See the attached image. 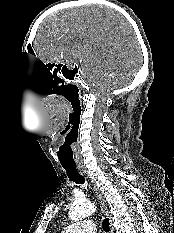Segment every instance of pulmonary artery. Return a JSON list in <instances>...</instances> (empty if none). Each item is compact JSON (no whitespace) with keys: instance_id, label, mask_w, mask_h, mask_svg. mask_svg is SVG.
<instances>
[{"instance_id":"1","label":"pulmonary artery","mask_w":174,"mask_h":233,"mask_svg":"<svg viewBox=\"0 0 174 233\" xmlns=\"http://www.w3.org/2000/svg\"><path fill=\"white\" fill-rule=\"evenodd\" d=\"M63 233H96V226L90 220L79 221L68 226Z\"/></svg>"}]
</instances>
